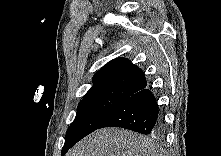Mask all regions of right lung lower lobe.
Instances as JSON below:
<instances>
[{
	"instance_id": "obj_1",
	"label": "right lung lower lobe",
	"mask_w": 221,
	"mask_h": 156,
	"mask_svg": "<svg viewBox=\"0 0 221 156\" xmlns=\"http://www.w3.org/2000/svg\"><path fill=\"white\" fill-rule=\"evenodd\" d=\"M121 127L142 134H158L163 118L152 92L145 88L122 102L100 128Z\"/></svg>"
}]
</instances>
